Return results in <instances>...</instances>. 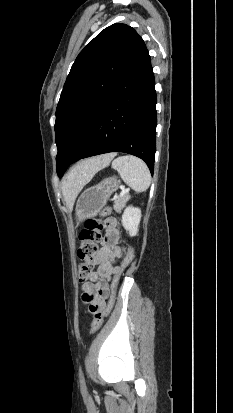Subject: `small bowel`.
Returning <instances> with one entry per match:
<instances>
[{"label":"small bowel","mask_w":233,"mask_h":413,"mask_svg":"<svg viewBox=\"0 0 233 413\" xmlns=\"http://www.w3.org/2000/svg\"><path fill=\"white\" fill-rule=\"evenodd\" d=\"M121 241L116 220L108 219L105 238L95 260L97 270L94 271L89 281L82 285L83 295L80 298L82 304H90L92 308H99L100 305L106 303L110 293L109 283L116 280L120 270L116 261L122 259L126 252ZM90 312L93 313L91 310Z\"/></svg>","instance_id":"1"}]
</instances>
